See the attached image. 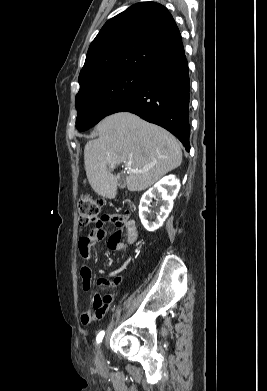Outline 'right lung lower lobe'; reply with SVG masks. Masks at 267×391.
Listing matches in <instances>:
<instances>
[{
  "instance_id": "obj_1",
  "label": "right lung lower lobe",
  "mask_w": 267,
  "mask_h": 391,
  "mask_svg": "<svg viewBox=\"0 0 267 391\" xmlns=\"http://www.w3.org/2000/svg\"><path fill=\"white\" fill-rule=\"evenodd\" d=\"M190 80L185 53L151 68L143 84L110 114L127 111L157 124L189 145Z\"/></svg>"
}]
</instances>
